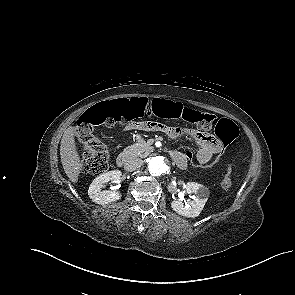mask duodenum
I'll return each instance as SVG.
<instances>
[{"label": "duodenum", "instance_id": "duodenum-1", "mask_svg": "<svg viewBox=\"0 0 295 295\" xmlns=\"http://www.w3.org/2000/svg\"><path fill=\"white\" fill-rule=\"evenodd\" d=\"M171 157L175 161V163H180L182 161V157L177 152H171ZM130 155L126 152H122L118 155L116 162L119 167L125 166L130 161Z\"/></svg>", "mask_w": 295, "mask_h": 295}]
</instances>
